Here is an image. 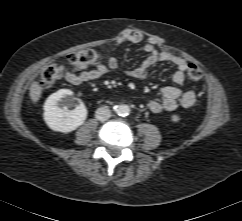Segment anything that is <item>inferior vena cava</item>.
I'll list each match as a JSON object with an SVG mask.
<instances>
[{"label": "inferior vena cava", "instance_id": "inferior-vena-cava-1", "mask_svg": "<svg viewBox=\"0 0 242 221\" xmlns=\"http://www.w3.org/2000/svg\"><path fill=\"white\" fill-rule=\"evenodd\" d=\"M95 117L99 121H106L111 117V111L107 107H100L96 110Z\"/></svg>", "mask_w": 242, "mask_h": 221}]
</instances>
